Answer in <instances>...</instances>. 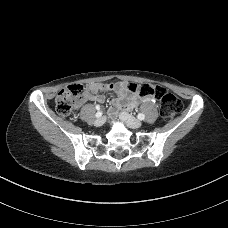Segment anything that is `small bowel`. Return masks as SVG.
<instances>
[{"instance_id": "1", "label": "small bowel", "mask_w": 228, "mask_h": 228, "mask_svg": "<svg viewBox=\"0 0 228 228\" xmlns=\"http://www.w3.org/2000/svg\"><path fill=\"white\" fill-rule=\"evenodd\" d=\"M128 84L126 82L118 83H91L87 86V91L79 99L78 104H84L89 101H94L98 103H104L105 95L104 93L114 90L116 92V97L112 100L111 106L109 108V114L115 117L118 111L122 108L127 110H132L139 105L140 102H153L154 97L139 98L137 95L132 94L127 89Z\"/></svg>"}]
</instances>
